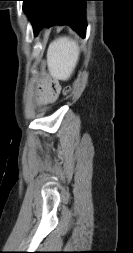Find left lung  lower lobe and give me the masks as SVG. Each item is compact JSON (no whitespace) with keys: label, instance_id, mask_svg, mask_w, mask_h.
Returning a JSON list of instances; mask_svg holds the SVG:
<instances>
[{"label":"left lung lower lobe","instance_id":"obj_1","mask_svg":"<svg viewBox=\"0 0 133 253\" xmlns=\"http://www.w3.org/2000/svg\"><path fill=\"white\" fill-rule=\"evenodd\" d=\"M24 11L32 22L35 35L52 25H69L85 37L86 1L90 0H22Z\"/></svg>","mask_w":133,"mask_h":253}]
</instances>
